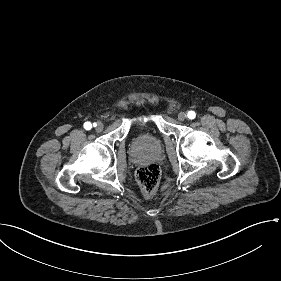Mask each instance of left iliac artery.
Segmentation results:
<instances>
[{
	"label": "left iliac artery",
	"mask_w": 281,
	"mask_h": 281,
	"mask_svg": "<svg viewBox=\"0 0 281 281\" xmlns=\"http://www.w3.org/2000/svg\"><path fill=\"white\" fill-rule=\"evenodd\" d=\"M195 116H196V114H195L194 111H189V112H188V118H189V119H194Z\"/></svg>",
	"instance_id": "obj_1"
}]
</instances>
